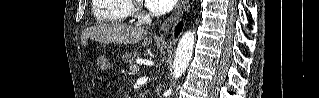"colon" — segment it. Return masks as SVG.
Returning a JSON list of instances; mask_svg holds the SVG:
<instances>
[{
  "label": "colon",
  "mask_w": 319,
  "mask_h": 98,
  "mask_svg": "<svg viewBox=\"0 0 319 98\" xmlns=\"http://www.w3.org/2000/svg\"><path fill=\"white\" fill-rule=\"evenodd\" d=\"M95 62L100 69H105L108 66V62H107L106 58H104L101 55L95 56Z\"/></svg>",
  "instance_id": "colon-1"
}]
</instances>
